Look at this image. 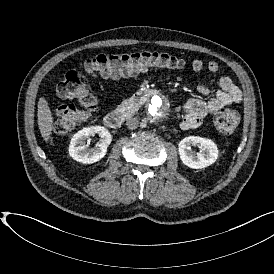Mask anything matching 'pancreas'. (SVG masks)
Masks as SVG:
<instances>
[{"label": "pancreas", "mask_w": 274, "mask_h": 274, "mask_svg": "<svg viewBox=\"0 0 274 274\" xmlns=\"http://www.w3.org/2000/svg\"><path fill=\"white\" fill-rule=\"evenodd\" d=\"M120 107H125L128 109V112L135 113L139 109L140 105L133 98H130L128 100H124Z\"/></svg>", "instance_id": "cf45deb5"}]
</instances>
